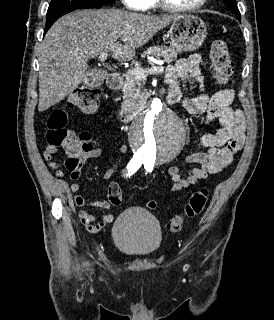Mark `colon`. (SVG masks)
Here are the masks:
<instances>
[{
	"label": "colon",
	"instance_id": "1",
	"mask_svg": "<svg viewBox=\"0 0 274 320\" xmlns=\"http://www.w3.org/2000/svg\"><path fill=\"white\" fill-rule=\"evenodd\" d=\"M211 69L215 78L225 85L232 81L234 73L233 62L230 50L224 41H215L210 48ZM99 91L96 86L79 88L73 91L68 99L67 107H55L47 119V143H56V149L63 148L71 155L65 160V168L70 172L78 171L81 167V158L93 148L92 136L90 133L80 131L74 133L67 127L68 110L79 109L82 112L90 113L97 109ZM109 201L113 206L122 202L121 187L116 182L108 183ZM208 200L206 189L196 190L184 207L182 215H175L166 223V229L171 233H178L181 230L182 222L186 218L198 216L204 209ZM147 208L157 209V201L150 199L146 203Z\"/></svg>",
	"mask_w": 274,
	"mask_h": 320
}]
</instances>
